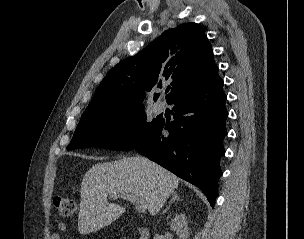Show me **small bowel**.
<instances>
[{
    "mask_svg": "<svg viewBox=\"0 0 304 239\" xmlns=\"http://www.w3.org/2000/svg\"><path fill=\"white\" fill-rule=\"evenodd\" d=\"M66 230V225L64 223H58L55 231L51 235V239H61L62 233Z\"/></svg>",
    "mask_w": 304,
    "mask_h": 239,
    "instance_id": "obj_1",
    "label": "small bowel"
}]
</instances>
